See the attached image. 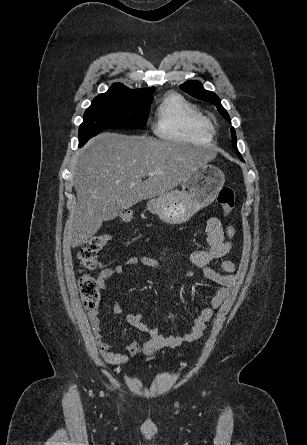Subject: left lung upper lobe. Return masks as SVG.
Masks as SVG:
<instances>
[{
  "label": "left lung upper lobe",
  "mask_w": 307,
  "mask_h": 445,
  "mask_svg": "<svg viewBox=\"0 0 307 445\" xmlns=\"http://www.w3.org/2000/svg\"><path fill=\"white\" fill-rule=\"evenodd\" d=\"M182 90H184L186 93L194 96L197 99L210 102L217 106L218 111L226 120L230 122V117L227 113V111L222 107L219 97L214 94L213 92L204 90L202 84L199 81H187L183 85L180 86ZM231 136L233 139V143L236 145V135L234 128H231ZM236 148V146H235ZM237 151V148H236ZM238 156L243 161L240 153L237 151Z\"/></svg>",
  "instance_id": "5c2ea615"
}]
</instances>
